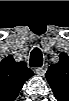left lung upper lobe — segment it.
<instances>
[{
    "label": "left lung upper lobe",
    "instance_id": "left-lung-upper-lobe-1",
    "mask_svg": "<svg viewBox=\"0 0 69 101\" xmlns=\"http://www.w3.org/2000/svg\"><path fill=\"white\" fill-rule=\"evenodd\" d=\"M65 55H60V61L49 67L45 76L55 95L66 87L69 82V66Z\"/></svg>",
    "mask_w": 69,
    "mask_h": 101
}]
</instances>
